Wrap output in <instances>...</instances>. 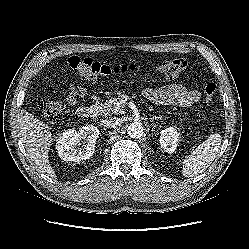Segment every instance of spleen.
Here are the masks:
<instances>
[{
  "instance_id": "obj_1",
  "label": "spleen",
  "mask_w": 249,
  "mask_h": 249,
  "mask_svg": "<svg viewBox=\"0 0 249 249\" xmlns=\"http://www.w3.org/2000/svg\"><path fill=\"white\" fill-rule=\"evenodd\" d=\"M221 145L219 134L210 135L191 154L183 160L182 173L186 177H193L204 172L217 156Z\"/></svg>"
}]
</instances>
